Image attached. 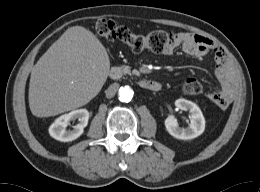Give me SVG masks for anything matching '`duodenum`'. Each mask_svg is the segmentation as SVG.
I'll return each instance as SVG.
<instances>
[{"instance_id":"duodenum-1","label":"duodenum","mask_w":260,"mask_h":192,"mask_svg":"<svg viewBox=\"0 0 260 192\" xmlns=\"http://www.w3.org/2000/svg\"><path fill=\"white\" fill-rule=\"evenodd\" d=\"M109 75L112 80H118L121 77L122 73L119 68L114 67L110 70ZM139 86L145 90L153 92L159 91L161 89V84L154 80H140Z\"/></svg>"}]
</instances>
